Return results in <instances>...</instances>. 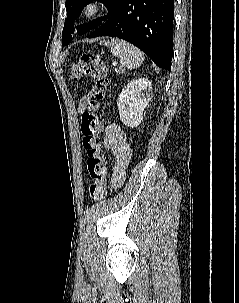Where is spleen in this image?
<instances>
[{
	"mask_svg": "<svg viewBox=\"0 0 239 303\" xmlns=\"http://www.w3.org/2000/svg\"><path fill=\"white\" fill-rule=\"evenodd\" d=\"M103 45L110 47L113 56L117 57L120 63L128 69H135L144 61L143 52L127 41L112 39L104 41Z\"/></svg>",
	"mask_w": 239,
	"mask_h": 303,
	"instance_id": "1",
	"label": "spleen"
}]
</instances>
